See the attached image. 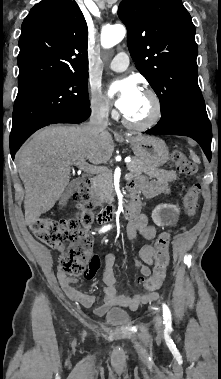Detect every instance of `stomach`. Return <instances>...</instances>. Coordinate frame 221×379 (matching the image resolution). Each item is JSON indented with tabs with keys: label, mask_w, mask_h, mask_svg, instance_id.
<instances>
[{
	"label": "stomach",
	"mask_w": 221,
	"mask_h": 379,
	"mask_svg": "<svg viewBox=\"0 0 221 379\" xmlns=\"http://www.w3.org/2000/svg\"><path fill=\"white\" fill-rule=\"evenodd\" d=\"M128 140L136 158L149 166H163L169 159L168 147L158 137L130 134Z\"/></svg>",
	"instance_id": "1"
}]
</instances>
